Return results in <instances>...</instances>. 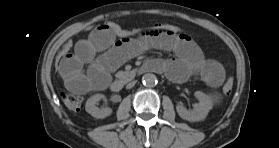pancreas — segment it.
I'll use <instances>...</instances> for the list:
<instances>
[{"label": "pancreas", "mask_w": 279, "mask_h": 148, "mask_svg": "<svg viewBox=\"0 0 279 148\" xmlns=\"http://www.w3.org/2000/svg\"><path fill=\"white\" fill-rule=\"evenodd\" d=\"M135 73L133 71H119L116 74L117 78L123 79V80H128L132 77H134Z\"/></svg>", "instance_id": "1"}]
</instances>
